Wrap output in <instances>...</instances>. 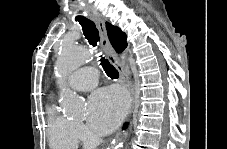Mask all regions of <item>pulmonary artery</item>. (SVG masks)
Returning a JSON list of instances; mask_svg holds the SVG:
<instances>
[{"label":"pulmonary artery","instance_id":"obj_1","mask_svg":"<svg viewBox=\"0 0 227 149\" xmlns=\"http://www.w3.org/2000/svg\"><path fill=\"white\" fill-rule=\"evenodd\" d=\"M98 72L92 67H83L74 71L68 78L69 86L77 91H89L96 87Z\"/></svg>","mask_w":227,"mask_h":149}]
</instances>
